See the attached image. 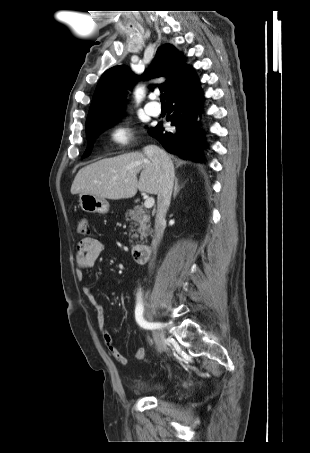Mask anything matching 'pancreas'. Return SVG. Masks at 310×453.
<instances>
[{
	"instance_id": "1",
	"label": "pancreas",
	"mask_w": 310,
	"mask_h": 453,
	"mask_svg": "<svg viewBox=\"0 0 310 453\" xmlns=\"http://www.w3.org/2000/svg\"><path fill=\"white\" fill-rule=\"evenodd\" d=\"M125 220L130 222V232L133 233L131 238H138L140 234L141 240L145 239L151 233L149 211L143 206H135L133 209L126 211Z\"/></svg>"
}]
</instances>
